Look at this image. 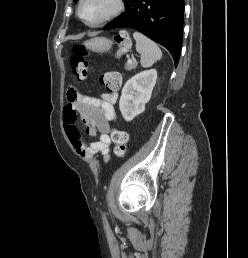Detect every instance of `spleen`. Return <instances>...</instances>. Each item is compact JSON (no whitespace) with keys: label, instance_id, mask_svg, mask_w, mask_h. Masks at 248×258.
<instances>
[{"label":"spleen","instance_id":"obj_1","mask_svg":"<svg viewBox=\"0 0 248 258\" xmlns=\"http://www.w3.org/2000/svg\"><path fill=\"white\" fill-rule=\"evenodd\" d=\"M133 38L136 41V51L141 55L140 63L143 67H151L162 58V51L154 41L137 31L133 33Z\"/></svg>","mask_w":248,"mask_h":258}]
</instances>
